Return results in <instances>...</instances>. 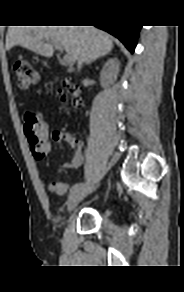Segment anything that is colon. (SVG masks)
Returning <instances> with one entry per match:
<instances>
[{
	"label": "colon",
	"instance_id": "colon-1",
	"mask_svg": "<svg viewBox=\"0 0 184 292\" xmlns=\"http://www.w3.org/2000/svg\"><path fill=\"white\" fill-rule=\"evenodd\" d=\"M13 71L20 88L26 89L35 84L38 80V74L31 63L25 59H17L13 63ZM58 95L63 102L71 100L75 107L81 106V100L77 97L78 88L66 84L57 90ZM25 134L31 145V151L36 159H43L49 151V132L46 122L40 114L28 112L24 121ZM50 190L59 193L60 183H52Z\"/></svg>",
	"mask_w": 184,
	"mask_h": 292
}]
</instances>
